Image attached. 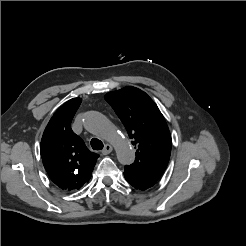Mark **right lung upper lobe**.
Returning <instances> with one entry per match:
<instances>
[{
	"label": "right lung upper lobe",
	"instance_id": "cb5924a9",
	"mask_svg": "<svg viewBox=\"0 0 246 246\" xmlns=\"http://www.w3.org/2000/svg\"><path fill=\"white\" fill-rule=\"evenodd\" d=\"M81 101V98L71 99L55 112L40 144L45 170L62 190L79 189L88 182L99 157L90 152L71 129L73 116Z\"/></svg>",
	"mask_w": 246,
	"mask_h": 246
}]
</instances>
